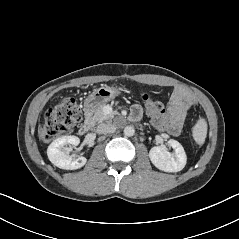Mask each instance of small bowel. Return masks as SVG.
Instances as JSON below:
<instances>
[{"instance_id":"1","label":"small bowel","mask_w":239,"mask_h":239,"mask_svg":"<svg viewBox=\"0 0 239 239\" xmlns=\"http://www.w3.org/2000/svg\"><path fill=\"white\" fill-rule=\"evenodd\" d=\"M191 104L190 95L184 90H176L172 94L171 102L167 114L170 117L169 132L172 135H178L181 132L188 108ZM148 113V112H147ZM142 115L140 105H134L131 109V118L139 120Z\"/></svg>"}]
</instances>
